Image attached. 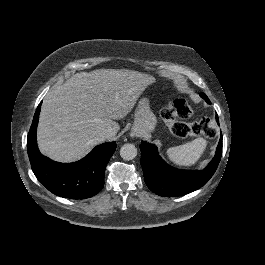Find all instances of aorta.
Listing matches in <instances>:
<instances>
[{
	"instance_id": "1",
	"label": "aorta",
	"mask_w": 265,
	"mask_h": 265,
	"mask_svg": "<svg viewBox=\"0 0 265 265\" xmlns=\"http://www.w3.org/2000/svg\"><path fill=\"white\" fill-rule=\"evenodd\" d=\"M120 155L124 160H132L137 155V148L131 143H126L120 148Z\"/></svg>"
}]
</instances>
